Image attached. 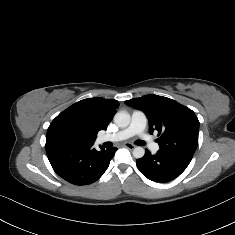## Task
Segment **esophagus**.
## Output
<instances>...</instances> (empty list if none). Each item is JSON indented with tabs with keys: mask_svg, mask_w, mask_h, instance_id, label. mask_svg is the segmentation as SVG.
I'll list each match as a JSON object with an SVG mask.
<instances>
[{
	"mask_svg": "<svg viewBox=\"0 0 235 235\" xmlns=\"http://www.w3.org/2000/svg\"><path fill=\"white\" fill-rule=\"evenodd\" d=\"M123 145L130 150H133L135 148V145L129 142H125Z\"/></svg>",
	"mask_w": 235,
	"mask_h": 235,
	"instance_id": "obj_1",
	"label": "esophagus"
}]
</instances>
